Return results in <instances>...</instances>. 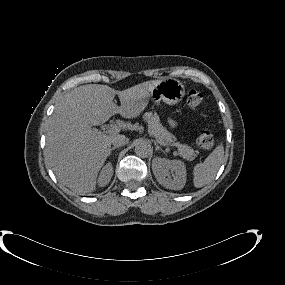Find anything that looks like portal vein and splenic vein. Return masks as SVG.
Returning <instances> with one entry per match:
<instances>
[{"instance_id":"portal-vein-and-splenic-vein-1","label":"portal vein and splenic vein","mask_w":285,"mask_h":285,"mask_svg":"<svg viewBox=\"0 0 285 285\" xmlns=\"http://www.w3.org/2000/svg\"><path fill=\"white\" fill-rule=\"evenodd\" d=\"M106 132L117 134L120 132V127L118 125H112L109 128L106 129ZM158 143L162 146H167V144L159 139H157Z\"/></svg>"}]
</instances>
